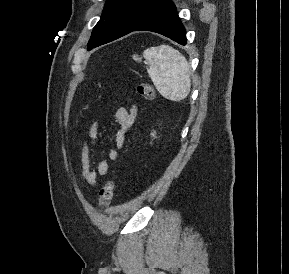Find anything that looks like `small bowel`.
<instances>
[{
    "label": "small bowel",
    "instance_id": "obj_1",
    "mask_svg": "<svg viewBox=\"0 0 289 274\" xmlns=\"http://www.w3.org/2000/svg\"><path fill=\"white\" fill-rule=\"evenodd\" d=\"M136 107L132 106L127 109L119 106L115 111L116 133L114 144L108 152L110 160L116 161L119 157V151L124 147L126 135L133 125L136 118ZM89 143L83 141L81 145V167L82 180L90 186H96L98 183V175H107L110 171L109 164L102 160L96 162L93 160V154L98 143L99 123L94 121L88 130Z\"/></svg>",
    "mask_w": 289,
    "mask_h": 274
}]
</instances>
